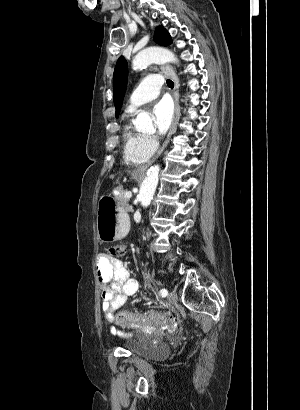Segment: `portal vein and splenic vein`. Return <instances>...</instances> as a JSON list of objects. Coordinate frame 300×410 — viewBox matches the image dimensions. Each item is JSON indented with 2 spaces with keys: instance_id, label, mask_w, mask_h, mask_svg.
<instances>
[{
  "instance_id": "portal-vein-and-splenic-vein-1",
  "label": "portal vein and splenic vein",
  "mask_w": 300,
  "mask_h": 410,
  "mask_svg": "<svg viewBox=\"0 0 300 410\" xmlns=\"http://www.w3.org/2000/svg\"><path fill=\"white\" fill-rule=\"evenodd\" d=\"M125 197L130 199L132 197V193L130 191L126 192Z\"/></svg>"
}]
</instances>
